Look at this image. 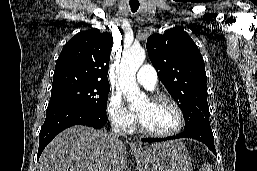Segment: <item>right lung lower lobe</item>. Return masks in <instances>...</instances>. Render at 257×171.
<instances>
[{
    "label": "right lung lower lobe",
    "instance_id": "98d812e1",
    "mask_svg": "<svg viewBox=\"0 0 257 171\" xmlns=\"http://www.w3.org/2000/svg\"><path fill=\"white\" fill-rule=\"evenodd\" d=\"M106 122V115L80 104L48 106L46 119L39 133L38 159L46 145L64 129L73 125H86L100 129Z\"/></svg>",
    "mask_w": 257,
    "mask_h": 171
}]
</instances>
